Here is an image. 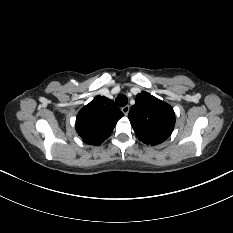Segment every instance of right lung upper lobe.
Masks as SVG:
<instances>
[{
	"label": "right lung upper lobe",
	"instance_id": "cb5924a9",
	"mask_svg": "<svg viewBox=\"0 0 233 233\" xmlns=\"http://www.w3.org/2000/svg\"><path fill=\"white\" fill-rule=\"evenodd\" d=\"M123 115L114 101L96 96L78 113L76 131L85 143L99 145L110 136Z\"/></svg>",
	"mask_w": 233,
	"mask_h": 233
}]
</instances>
